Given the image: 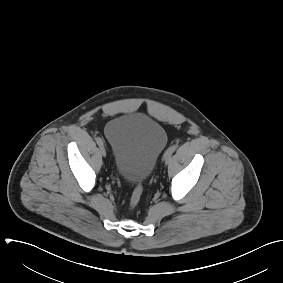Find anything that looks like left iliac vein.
<instances>
[{"instance_id": "4c4485c4", "label": "left iliac vein", "mask_w": 283, "mask_h": 283, "mask_svg": "<svg viewBox=\"0 0 283 283\" xmlns=\"http://www.w3.org/2000/svg\"><path fill=\"white\" fill-rule=\"evenodd\" d=\"M169 161H170V158H169V159H165V160H164V162H165L166 164H168V163H169Z\"/></svg>"}]
</instances>
